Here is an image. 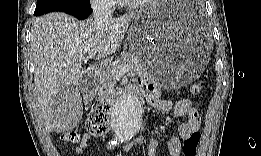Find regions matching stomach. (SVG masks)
I'll list each match as a JSON object with an SVG mask.
<instances>
[{"instance_id":"obj_1","label":"stomach","mask_w":261,"mask_h":156,"mask_svg":"<svg viewBox=\"0 0 261 156\" xmlns=\"http://www.w3.org/2000/svg\"><path fill=\"white\" fill-rule=\"evenodd\" d=\"M191 5L187 1L160 2L141 12L130 28L132 51L162 86L188 84L208 63L211 40L187 16Z\"/></svg>"}]
</instances>
